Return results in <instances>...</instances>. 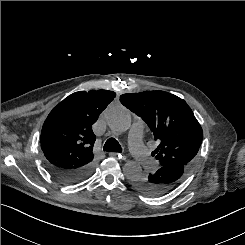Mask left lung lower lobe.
<instances>
[{"label":"left lung lower lobe","instance_id":"left-lung-lower-lobe-1","mask_svg":"<svg viewBox=\"0 0 245 245\" xmlns=\"http://www.w3.org/2000/svg\"><path fill=\"white\" fill-rule=\"evenodd\" d=\"M188 171L189 167L184 165L168 164L159 167L155 173L131 177L128 186L149 197L163 196L178 187Z\"/></svg>","mask_w":245,"mask_h":245}]
</instances>
